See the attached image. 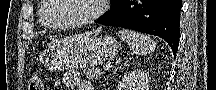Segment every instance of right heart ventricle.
I'll use <instances>...</instances> for the list:
<instances>
[{
  "label": "right heart ventricle",
  "instance_id": "obj_1",
  "mask_svg": "<svg viewBox=\"0 0 216 90\" xmlns=\"http://www.w3.org/2000/svg\"><path fill=\"white\" fill-rule=\"evenodd\" d=\"M54 4L55 2H40V7L37 8L39 14H51V7H54ZM38 22L42 29H53L42 16H39Z\"/></svg>",
  "mask_w": 216,
  "mask_h": 90
}]
</instances>
